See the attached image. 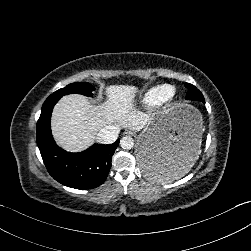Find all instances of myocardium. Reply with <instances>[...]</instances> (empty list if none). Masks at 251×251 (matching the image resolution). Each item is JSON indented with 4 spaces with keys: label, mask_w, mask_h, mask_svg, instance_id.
Listing matches in <instances>:
<instances>
[{
    "label": "myocardium",
    "mask_w": 251,
    "mask_h": 251,
    "mask_svg": "<svg viewBox=\"0 0 251 251\" xmlns=\"http://www.w3.org/2000/svg\"><path fill=\"white\" fill-rule=\"evenodd\" d=\"M179 96L177 91L175 90L172 95L168 98L167 104L170 106H175L178 102Z\"/></svg>",
    "instance_id": "obj_1"
}]
</instances>
